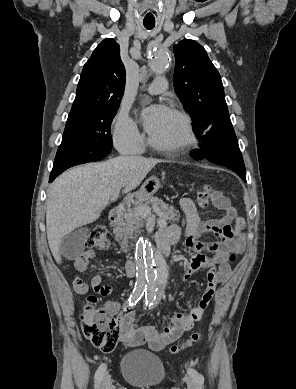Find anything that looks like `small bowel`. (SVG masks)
Segmentation results:
<instances>
[{
    "label": "small bowel",
    "instance_id": "c3829d8e",
    "mask_svg": "<svg viewBox=\"0 0 296 389\" xmlns=\"http://www.w3.org/2000/svg\"><path fill=\"white\" fill-rule=\"evenodd\" d=\"M179 208L186 218L185 245L188 250L194 251L188 261L185 277L200 269L206 268L207 283L205 291L196 306L189 312H176L170 323L158 330L150 325H137L133 311L123 312L119 319L120 339L123 344L136 347L147 344L153 351H161L171 343L178 340L182 334L193 328L197 318H201L206 308L214 297L216 287L226 280L231 267L227 260L231 252H242L244 239L240 234L242 220L237 218L234 208L227 199H218L215 206L222 211L217 219L202 220L196 206L189 198H181L178 201ZM235 221V226L232 223ZM203 235H213L215 241L202 240ZM165 236L176 242L180 237V229L172 224L162 230L157 237ZM94 257V251L84 250L75 259V268L84 271L89 260ZM73 288L79 294H85L91 288L96 294L106 297L113 292V287L102 283L100 275H95L89 282L78 276L73 278ZM104 307L111 315L120 311V303L117 300H108Z\"/></svg>",
    "mask_w": 296,
    "mask_h": 389
}]
</instances>
